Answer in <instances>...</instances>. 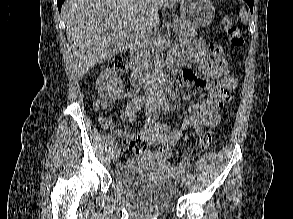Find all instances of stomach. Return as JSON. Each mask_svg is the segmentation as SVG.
<instances>
[{"label": "stomach", "mask_w": 293, "mask_h": 219, "mask_svg": "<svg viewBox=\"0 0 293 219\" xmlns=\"http://www.w3.org/2000/svg\"><path fill=\"white\" fill-rule=\"evenodd\" d=\"M180 16L194 28L209 25L215 15V8L210 0H180Z\"/></svg>", "instance_id": "0dacf381"}]
</instances>
